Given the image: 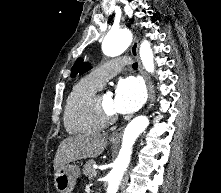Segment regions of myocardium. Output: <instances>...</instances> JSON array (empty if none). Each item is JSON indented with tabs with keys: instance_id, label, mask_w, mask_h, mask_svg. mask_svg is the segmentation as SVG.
I'll return each mask as SVG.
<instances>
[{
	"instance_id": "1",
	"label": "myocardium",
	"mask_w": 221,
	"mask_h": 193,
	"mask_svg": "<svg viewBox=\"0 0 221 193\" xmlns=\"http://www.w3.org/2000/svg\"><path fill=\"white\" fill-rule=\"evenodd\" d=\"M102 89L100 88L97 92L93 95L91 99V107L94 113L98 116V118L104 124H110L116 121L117 115L115 112L108 111L101 101L102 96Z\"/></svg>"
}]
</instances>
